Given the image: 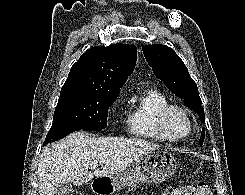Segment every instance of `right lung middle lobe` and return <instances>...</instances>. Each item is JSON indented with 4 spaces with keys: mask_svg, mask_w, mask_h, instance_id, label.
<instances>
[{
    "mask_svg": "<svg viewBox=\"0 0 245 195\" xmlns=\"http://www.w3.org/2000/svg\"><path fill=\"white\" fill-rule=\"evenodd\" d=\"M116 98V95L97 92L60 94L44 144L62 139L74 131L106 128L108 109Z\"/></svg>",
    "mask_w": 245,
    "mask_h": 195,
    "instance_id": "right-lung-middle-lobe-1",
    "label": "right lung middle lobe"
}]
</instances>
